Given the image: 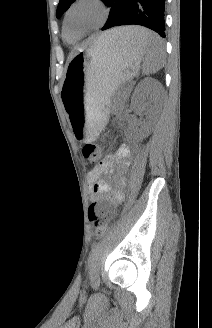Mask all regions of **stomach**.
<instances>
[{
    "mask_svg": "<svg viewBox=\"0 0 212 328\" xmlns=\"http://www.w3.org/2000/svg\"><path fill=\"white\" fill-rule=\"evenodd\" d=\"M144 50L130 41L108 38L77 52L67 66L62 100L78 140L96 139L118 87L138 73Z\"/></svg>",
    "mask_w": 212,
    "mask_h": 328,
    "instance_id": "1",
    "label": "stomach"
}]
</instances>
